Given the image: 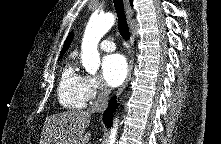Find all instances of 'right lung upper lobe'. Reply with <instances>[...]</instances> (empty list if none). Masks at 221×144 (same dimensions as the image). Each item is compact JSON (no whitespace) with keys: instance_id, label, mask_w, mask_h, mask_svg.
Returning <instances> with one entry per match:
<instances>
[{"instance_id":"cb5924a9","label":"right lung upper lobe","mask_w":221,"mask_h":144,"mask_svg":"<svg viewBox=\"0 0 221 144\" xmlns=\"http://www.w3.org/2000/svg\"><path fill=\"white\" fill-rule=\"evenodd\" d=\"M131 3H132V1H131ZM72 40H73V32H71V33L69 34V36L67 37V39H66V41H65V43H64V45H63V48H62V50H61L60 58L63 56V54H64V52L67 50V48L70 46Z\"/></svg>"}]
</instances>
